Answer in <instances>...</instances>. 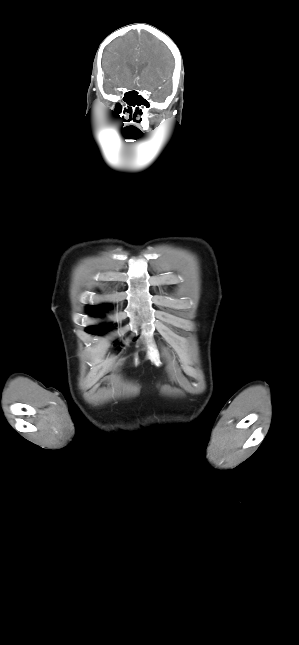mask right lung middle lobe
<instances>
[{
  "label": "right lung middle lobe",
  "mask_w": 299,
  "mask_h": 645,
  "mask_svg": "<svg viewBox=\"0 0 299 645\" xmlns=\"http://www.w3.org/2000/svg\"><path fill=\"white\" fill-rule=\"evenodd\" d=\"M104 329H109V327L105 326ZM86 331L89 332V333L101 334V333H103V328L91 326V327H88L86 329Z\"/></svg>",
  "instance_id": "dd1d6c3e"
}]
</instances>
